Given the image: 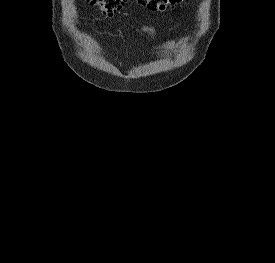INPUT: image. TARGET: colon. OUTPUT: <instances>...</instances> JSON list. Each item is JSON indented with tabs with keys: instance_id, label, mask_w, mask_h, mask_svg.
<instances>
[{
	"instance_id": "1",
	"label": "colon",
	"mask_w": 275,
	"mask_h": 263,
	"mask_svg": "<svg viewBox=\"0 0 275 263\" xmlns=\"http://www.w3.org/2000/svg\"><path fill=\"white\" fill-rule=\"evenodd\" d=\"M89 2L95 6L102 15L110 16L119 12L126 0H89ZM136 2L150 11H165L173 9L181 3L182 0H136Z\"/></svg>"
}]
</instances>
